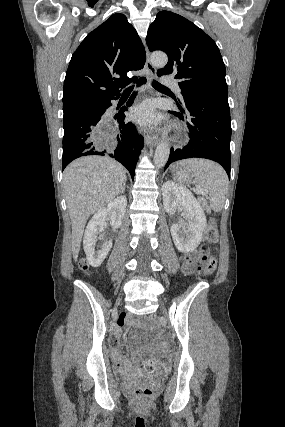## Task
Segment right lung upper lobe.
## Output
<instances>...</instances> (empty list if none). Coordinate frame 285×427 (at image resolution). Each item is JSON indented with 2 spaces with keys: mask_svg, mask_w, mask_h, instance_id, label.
I'll return each mask as SVG.
<instances>
[{
  "mask_svg": "<svg viewBox=\"0 0 285 427\" xmlns=\"http://www.w3.org/2000/svg\"><path fill=\"white\" fill-rule=\"evenodd\" d=\"M146 54L136 30L124 14H113L90 32L73 53L63 89L64 113L80 105L120 95L142 69Z\"/></svg>",
  "mask_w": 285,
  "mask_h": 427,
  "instance_id": "obj_1",
  "label": "right lung upper lobe"
}]
</instances>
